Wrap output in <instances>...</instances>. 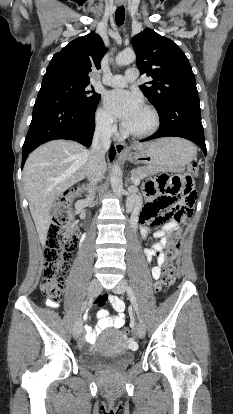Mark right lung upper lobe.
I'll use <instances>...</instances> for the list:
<instances>
[{
    "label": "right lung upper lobe",
    "instance_id": "obj_1",
    "mask_svg": "<svg viewBox=\"0 0 233 414\" xmlns=\"http://www.w3.org/2000/svg\"><path fill=\"white\" fill-rule=\"evenodd\" d=\"M105 53L103 40L98 34L91 32L71 41L56 53L44 76H62L89 82L88 73L92 67L100 68V61Z\"/></svg>",
    "mask_w": 233,
    "mask_h": 414
}]
</instances>
